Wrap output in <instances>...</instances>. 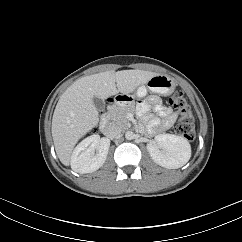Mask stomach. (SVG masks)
I'll return each instance as SVG.
<instances>
[{"label":"stomach","instance_id":"stomach-1","mask_svg":"<svg viewBox=\"0 0 242 242\" xmlns=\"http://www.w3.org/2000/svg\"><path fill=\"white\" fill-rule=\"evenodd\" d=\"M176 82L168 75L158 74L153 76L145 85H141L136 90V96L142 98L146 95L147 89L153 93L163 96L171 95L175 88ZM120 105H125V101H119Z\"/></svg>","mask_w":242,"mask_h":242}]
</instances>
